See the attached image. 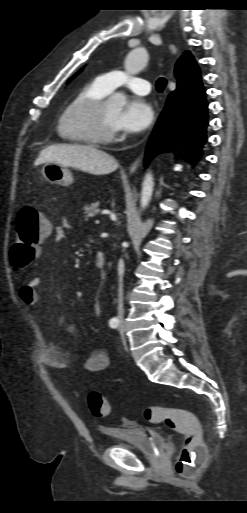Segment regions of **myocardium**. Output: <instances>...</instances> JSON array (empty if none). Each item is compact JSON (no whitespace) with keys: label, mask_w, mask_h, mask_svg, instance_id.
I'll use <instances>...</instances> for the list:
<instances>
[{"label":"myocardium","mask_w":247,"mask_h":513,"mask_svg":"<svg viewBox=\"0 0 247 513\" xmlns=\"http://www.w3.org/2000/svg\"><path fill=\"white\" fill-rule=\"evenodd\" d=\"M108 100H88L68 111L64 118V130L67 134L84 142L109 144L117 136L115 129H108L103 122V112Z\"/></svg>","instance_id":"obj_1"}]
</instances>
